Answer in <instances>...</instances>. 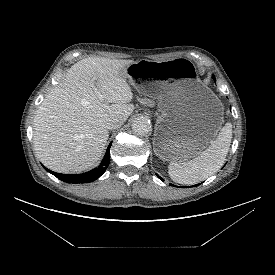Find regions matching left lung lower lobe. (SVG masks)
<instances>
[{
	"instance_id": "1",
	"label": "left lung lower lobe",
	"mask_w": 275,
	"mask_h": 275,
	"mask_svg": "<svg viewBox=\"0 0 275 275\" xmlns=\"http://www.w3.org/2000/svg\"><path fill=\"white\" fill-rule=\"evenodd\" d=\"M213 78H214V76H213ZM162 181H163V178H161L160 176H158ZM197 186V185H196Z\"/></svg>"
}]
</instances>
